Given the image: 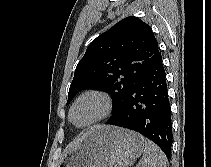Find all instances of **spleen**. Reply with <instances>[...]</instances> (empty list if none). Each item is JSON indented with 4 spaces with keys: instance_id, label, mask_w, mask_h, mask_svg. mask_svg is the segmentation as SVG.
<instances>
[{
    "instance_id": "1",
    "label": "spleen",
    "mask_w": 211,
    "mask_h": 167,
    "mask_svg": "<svg viewBox=\"0 0 211 167\" xmlns=\"http://www.w3.org/2000/svg\"><path fill=\"white\" fill-rule=\"evenodd\" d=\"M142 167H166L164 153L150 140L144 142V153L141 160Z\"/></svg>"
}]
</instances>
